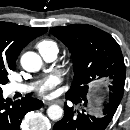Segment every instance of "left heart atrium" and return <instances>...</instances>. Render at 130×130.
Returning a JSON list of instances; mask_svg holds the SVG:
<instances>
[{
	"instance_id": "obj_1",
	"label": "left heart atrium",
	"mask_w": 130,
	"mask_h": 130,
	"mask_svg": "<svg viewBox=\"0 0 130 130\" xmlns=\"http://www.w3.org/2000/svg\"><path fill=\"white\" fill-rule=\"evenodd\" d=\"M59 83V79L55 75L48 76L44 79L39 86V93L41 95L47 96Z\"/></svg>"
}]
</instances>
